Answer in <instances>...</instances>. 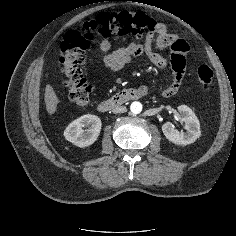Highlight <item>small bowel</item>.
Segmentation results:
<instances>
[{"mask_svg": "<svg viewBox=\"0 0 236 236\" xmlns=\"http://www.w3.org/2000/svg\"><path fill=\"white\" fill-rule=\"evenodd\" d=\"M156 48L164 49L170 48L171 66L173 70L172 81L167 84L162 93L169 97L174 95L178 90L183 80L184 67L186 55L189 50L187 42L181 38L172 37L168 41L159 39L153 32H149L144 41L140 43H129L112 50V44L109 40L103 39L99 43V49L103 56L104 66L111 72H119L122 70L133 58L145 56L150 63L158 68H163L167 65V58L158 53ZM146 93L148 89L146 86L141 87Z\"/></svg>", "mask_w": 236, "mask_h": 236, "instance_id": "obj_1", "label": "small bowel"}]
</instances>
